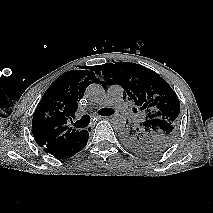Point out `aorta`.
Masks as SVG:
<instances>
[{"instance_id": "762f6f07", "label": "aorta", "mask_w": 213, "mask_h": 213, "mask_svg": "<svg viewBox=\"0 0 213 213\" xmlns=\"http://www.w3.org/2000/svg\"><path fill=\"white\" fill-rule=\"evenodd\" d=\"M86 94L91 100L96 101L104 96L105 90L100 84L94 83L88 86ZM112 125L115 129L122 131L126 126V119L121 115H115L112 118Z\"/></svg>"}]
</instances>
